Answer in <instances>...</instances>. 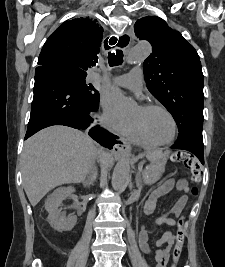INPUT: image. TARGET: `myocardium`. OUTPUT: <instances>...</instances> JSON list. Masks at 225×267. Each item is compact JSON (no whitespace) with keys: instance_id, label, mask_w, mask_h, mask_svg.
I'll list each match as a JSON object with an SVG mask.
<instances>
[{"instance_id":"1","label":"myocardium","mask_w":225,"mask_h":267,"mask_svg":"<svg viewBox=\"0 0 225 267\" xmlns=\"http://www.w3.org/2000/svg\"><path fill=\"white\" fill-rule=\"evenodd\" d=\"M143 110L145 111H150V110H159V111H162L164 112L172 121L173 123V135L172 137L168 140V141H165V142H155V141H152L148 135L146 134V132L144 131V129L141 127V125H139L138 123L136 122H133V125L135 127V129L137 130V132L152 146L154 147H161V146H167V145H170L172 144L177 136H178V131H179V128H178V123H177V120L176 118L174 117V115L165 107L161 106V105H158V104H144V105H141L140 106Z\"/></svg>"}]
</instances>
